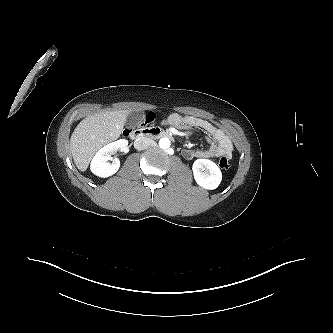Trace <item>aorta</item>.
I'll list each match as a JSON object with an SVG mask.
<instances>
[{
    "instance_id": "762f6f07",
    "label": "aorta",
    "mask_w": 333,
    "mask_h": 333,
    "mask_svg": "<svg viewBox=\"0 0 333 333\" xmlns=\"http://www.w3.org/2000/svg\"><path fill=\"white\" fill-rule=\"evenodd\" d=\"M170 145H171V143H170V140L168 138H161L159 140V146L162 149H167V148L170 147Z\"/></svg>"
}]
</instances>
